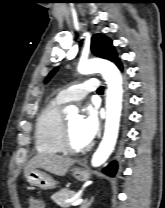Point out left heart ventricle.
<instances>
[{"mask_svg": "<svg viewBox=\"0 0 165 208\" xmlns=\"http://www.w3.org/2000/svg\"><path fill=\"white\" fill-rule=\"evenodd\" d=\"M67 121L70 127V136L72 144L77 147H83L87 145L88 143L82 137L80 132L81 117L78 115L71 116L67 119Z\"/></svg>", "mask_w": 165, "mask_h": 208, "instance_id": "left-heart-ventricle-1", "label": "left heart ventricle"}]
</instances>
